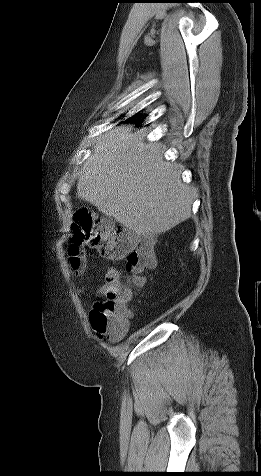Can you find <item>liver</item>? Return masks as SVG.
<instances>
[{
  "label": "liver",
  "mask_w": 261,
  "mask_h": 476,
  "mask_svg": "<svg viewBox=\"0 0 261 476\" xmlns=\"http://www.w3.org/2000/svg\"><path fill=\"white\" fill-rule=\"evenodd\" d=\"M119 126L102 135L80 171L78 197L145 237L191 216L195 191L182 181L164 148L146 142L144 129ZM133 130V129H132Z\"/></svg>",
  "instance_id": "6515ba94"
}]
</instances>
